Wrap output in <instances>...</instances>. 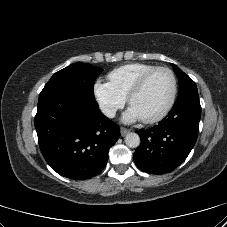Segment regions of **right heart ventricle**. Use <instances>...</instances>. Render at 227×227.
Here are the masks:
<instances>
[{"mask_svg":"<svg viewBox=\"0 0 227 227\" xmlns=\"http://www.w3.org/2000/svg\"><path fill=\"white\" fill-rule=\"evenodd\" d=\"M156 67L153 64L134 62L119 66L108 73V83L124 98L135 82L147 71Z\"/></svg>","mask_w":227,"mask_h":227,"instance_id":"1","label":"right heart ventricle"}]
</instances>
